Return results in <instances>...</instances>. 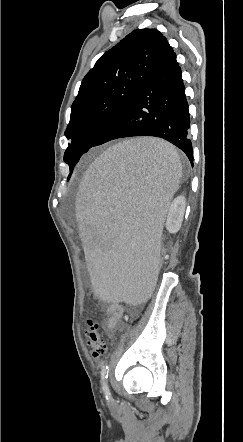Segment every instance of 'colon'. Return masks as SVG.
I'll return each instance as SVG.
<instances>
[{
  "mask_svg": "<svg viewBox=\"0 0 243 442\" xmlns=\"http://www.w3.org/2000/svg\"><path fill=\"white\" fill-rule=\"evenodd\" d=\"M162 242L164 244H167L169 242V239L167 237H164L162 239ZM168 251L169 248L167 246H164L162 248V251L159 252V257L165 258ZM85 335L87 339V344L94 357L98 358L106 353L107 344L103 337L100 324L97 321L93 319L88 320L87 326L85 328Z\"/></svg>",
  "mask_w": 243,
  "mask_h": 442,
  "instance_id": "1",
  "label": "colon"
}]
</instances>
